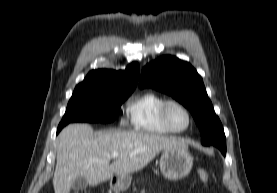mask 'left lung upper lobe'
Here are the masks:
<instances>
[{
  "instance_id": "1",
  "label": "left lung upper lobe",
  "mask_w": 277,
  "mask_h": 193,
  "mask_svg": "<svg viewBox=\"0 0 277 193\" xmlns=\"http://www.w3.org/2000/svg\"><path fill=\"white\" fill-rule=\"evenodd\" d=\"M141 88L152 87L171 95L192 113L201 132L204 145L217 146L226 140L222 124L208 98L201 76L187 62L176 57L163 56L142 69Z\"/></svg>"
}]
</instances>
